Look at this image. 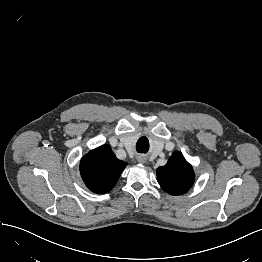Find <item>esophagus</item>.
Returning a JSON list of instances; mask_svg holds the SVG:
<instances>
[{
	"label": "esophagus",
	"instance_id": "1",
	"mask_svg": "<svg viewBox=\"0 0 262 262\" xmlns=\"http://www.w3.org/2000/svg\"><path fill=\"white\" fill-rule=\"evenodd\" d=\"M145 161H146V158H141V159H139V162H140V163H145Z\"/></svg>",
	"mask_w": 262,
	"mask_h": 262
}]
</instances>
